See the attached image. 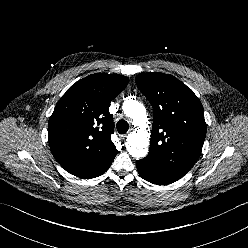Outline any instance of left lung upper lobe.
Returning <instances> with one entry per match:
<instances>
[{
    "label": "left lung upper lobe",
    "instance_id": "5c2ea615",
    "mask_svg": "<svg viewBox=\"0 0 248 248\" xmlns=\"http://www.w3.org/2000/svg\"><path fill=\"white\" fill-rule=\"evenodd\" d=\"M136 84L154 113L145 158L182 178L198 160L206 136L202 104L190 88L171 75L143 73L136 77Z\"/></svg>",
    "mask_w": 248,
    "mask_h": 248
}]
</instances>
